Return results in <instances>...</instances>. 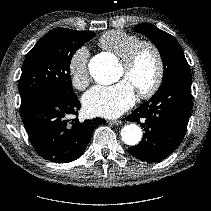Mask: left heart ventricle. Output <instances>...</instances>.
Segmentation results:
<instances>
[{"mask_svg": "<svg viewBox=\"0 0 211 211\" xmlns=\"http://www.w3.org/2000/svg\"><path fill=\"white\" fill-rule=\"evenodd\" d=\"M156 74V61L150 49H143L133 67L126 70L120 66L118 79L129 81L136 90L147 88Z\"/></svg>", "mask_w": 211, "mask_h": 211, "instance_id": "b2bd125f", "label": "left heart ventricle"}]
</instances>
